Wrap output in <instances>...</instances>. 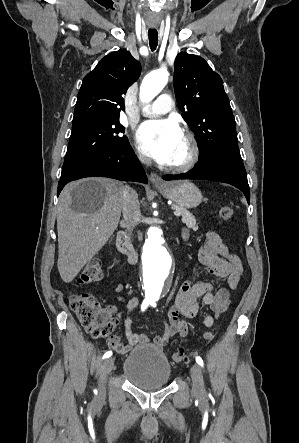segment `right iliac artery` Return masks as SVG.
Returning <instances> with one entry per match:
<instances>
[{
	"label": "right iliac artery",
	"mask_w": 299,
	"mask_h": 443,
	"mask_svg": "<svg viewBox=\"0 0 299 443\" xmlns=\"http://www.w3.org/2000/svg\"><path fill=\"white\" fill-rule=\"evenodd\" d=\"M150 301L149 300H144L141 304V310L145 311L147 309V307L149 306ZM110 356H112V351H107L104 355H103V359L105 358H109Z\"/></svg>",
	"instance_id": "1"
}]
</instances>
